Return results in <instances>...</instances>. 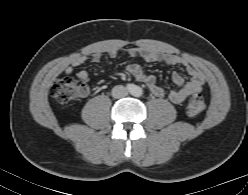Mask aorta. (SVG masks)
I'll list each match as a JSON object with an SVG mask.
<instances>
[{"mask_svg": "<svg viewBox=\"0 0 248 195\" xmlns=\"http://www.w3.org/2000/svg\"><path fill=\"white\" fill-rule=\"evenodd\" d=\"M142 93H143L142 88H141V87H138V86L135 87V89H134L133 92H132V94H133L134 96H141Z\"/></svg>", "mask_w": 248, "mask_h": 195, "instance_id": "obj_1", "label": "aorta"}]
</instances>
